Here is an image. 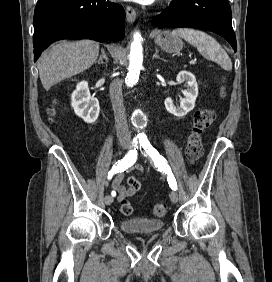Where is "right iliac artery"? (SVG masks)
<instances>
[{"mask_svg": "<svg viewBox=\"0 0 272 282\" xmlns=\"http://www.w3.org/2000/svg\"><path fill=\"white\" fill-rule=\"evenodd\" d=\"M137 142L132 143V149L128 152L127 155L121 160H119L115 165H113L112 169L108 173V179H111L114 174H117L119 172H123L129 167H131L137 159ZM111 195L113 197L116 196V192L112 191Z\"/></svg>", "mask_w": 272, "mask_h": 282, "instance_id": "82829eb1", "label": "right iliac artery"}]
</instances>
